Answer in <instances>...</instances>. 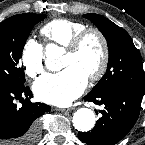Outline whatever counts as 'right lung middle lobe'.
Listing matches in <instances>:
<instances>
[{"instance_id":"1","label":"right lung middle lobe","mask_w":145,"mask_h":145,"mask_svg":"<svg viewBox=\"0 0 145 145\" xmlns=\"http://www.w3.org/2000/svg\"><path fill=\"white\" fill-rule=\"evenodd\" d=\"M44 18V14L25 13L0 23V84L24 85V70L19 61L34 25Z\"/></svg>"}]
</instances>
